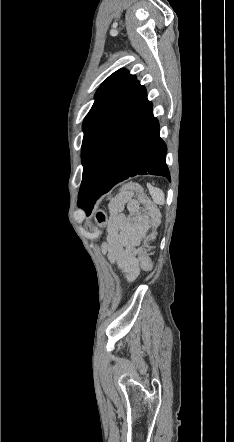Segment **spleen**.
<instances>
[{
    "label": "spleen",
    "instance_id": "obj_1",
    "mask_svg": "<svg viewBox=\"0 0 234 442\" xmlns=\"http://www.w3.org/2000/svg\"><path fill=\"white\" fill-rule=\"evenodd\" d=\"M149 192L152 196V199L154 203L158 205H164L165 204V196L163 191L158 187H151L149 188Z\"/></svg>",
    "mask_w": 234,
    "mask_h": 442
}]
</instances>
